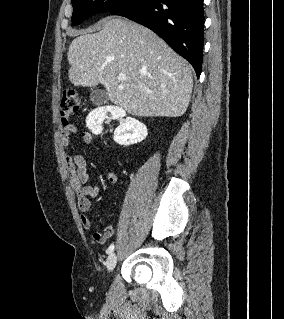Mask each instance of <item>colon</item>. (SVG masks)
I'll return each mask as SVG.
<instances>
[{
	"instance_id": "obj_1",
	"label": "colon",
	"mask_w": 284,
	"mask_h": 319,
	"mask_svg": "<svg viewBox=\"0 0 284 319\" xmlns=\"http://www.w3.org/2000/svg\"><path fill=\"white\" fill-rule=\"evenodd\" d=\"M81 108V100L76 91L67 89L63 91L60 101V115L63 126L69 125L71 117Z\"/></svg>"
}]
</instances>
